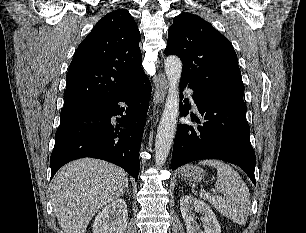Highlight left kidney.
<instances>
[{"label":"left kidney","mask_w":306,"mask_h":233,"mask_svg":"<svg viewBox=\"0 0 306 233\" xmlns=\"http://www.w3.org/2000/svg\"><path fill=\"white\" fill-rule=\"evenodd\" d=\"M180 209L187 233H221L219 222L208 204L197 198L185 195L180 199ZM194 212L202 214L203 228L195 221Z\"/></svg>","instance_id":"1"}]
</instances>
